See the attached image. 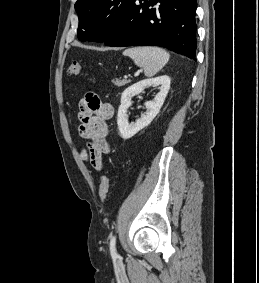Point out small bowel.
Instances as JSON below:
<instances>
[{
  "label": "small bowel",
  "instance_id": "c3829d8e",
  "mask_svg": "<svg viewBox=\"0 0 259 283\" xmlns=\"http://www.w3.org/2000/svg\"><path fill=\"white\" fill-rule=\"evenodd\" d=\"M113 115V106L94 93H87L79 102L78 133L87 142L82 157L98 171L103 168L102 156L110 153L107 121Z\"/></svg>",
  "mask_w": 259,
  "mask_h": 283
}]
</instances>
